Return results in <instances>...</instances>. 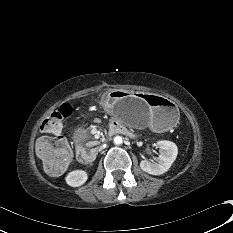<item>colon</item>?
<instances>
[{"instance_id": "1", "label": "colon", "mask_w": 233, "mask_h": 233, "mask_svg": "<svg viewBox=\"0 0 233 233\" xmlns=\"http://www.w3.org/2000/svg\"><path fill=\"white\" fill-rule=\"evenodd\" d=\"M70 114V105L63 104L43 120L41 130L48 134L59 132L64 120ZM36 151L45 171L50 175L61 174L69 165L72 157L70 146L62 137H41L37 142Z\"/></svg>"}]
</instances>
